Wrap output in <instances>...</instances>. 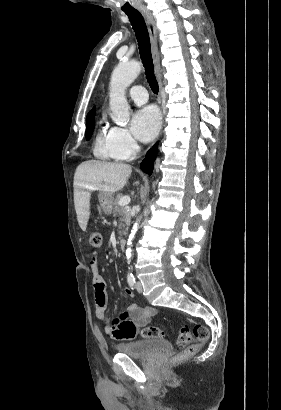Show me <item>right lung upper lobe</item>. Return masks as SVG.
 <instances>
[{
  "label": "right lung upper lobe",
  "mask_w": 281,
  "mask_h": 410,
  "mask_svg": "<svg viewBox=\"0 0 281 410\" xmlns=\"http://www.w3.org/2000/svg\"><path fill=\"white\" fill-rule=\"evenodd\" d=\"M95 115V107L88 113L87 118Z\"/></svg>",
  "instance_id": "right-lung-upper-lobe-1"
}]
</instances>
